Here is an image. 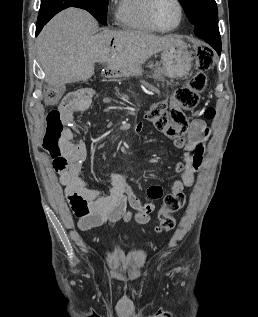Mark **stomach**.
<instances>
[{"label":"stomach","instance_id":"0dacf381","mask_svg":"<svg viewBox=\"0 0 258 317\" xmlns=\"http://www.w3.org/2000/svg\"><path fill=\"white\" fill-rule=\"evenodd\" d=\"M191 52L188 50L186 42H179L177 46L165 48L161 52L162 68H158L157 72H164L170 78H177V76H184L188 74L192 66Z\"/></svg>","mask_w":258,"mask_h":317}]
</instances>
